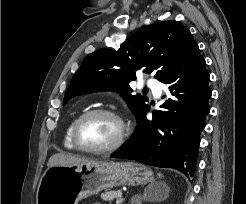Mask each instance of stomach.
<instances>
[{
	"mask_svg": "<svg viewBox=\"0 0 246 204\" xmlns=\"http://www.w3.org/2000/svg\"><path fill=\"white\" fill-rule=\"evenodd\" d=\"M154 180L150 168L135 162H101L49 167L36 193L37 204H77L81 199L116 186Z\"/></svg>",
	"mask_w": 246,
	"mask_h": 204,
	"instance_id": "stomach-1",
	"label": "stomach"
}]
</instances>
